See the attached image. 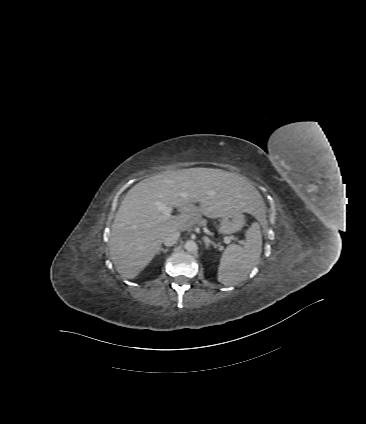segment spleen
Segmentation results:
<instances>
[{
  "instance_id": "spleen-1",
  "label": "spleen",
  "mask_w": 366,
  "mask_h": 424,
  "mask_svg": "<svg viewBox=\"0 0 366 424\" xmlns=\"http://www.w3.org/2000/svg\"><path fill=\"white\" fill-rule=\"evenodd\" d=\"M261 252L262 235L259 223L255 222L246 232L243 247L231 244L224 250L218 268V281L226 286L244 281L256 266Z\"/></svg>"
}]
</instances>
